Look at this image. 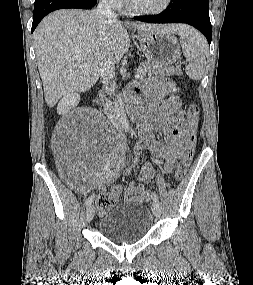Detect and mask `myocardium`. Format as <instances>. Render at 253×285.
<instances>
[{
	"label": "myocardium",
	"mask_w": 253,
	"mask_h": 285,
	"mask_svg": "<svg viewBox=\"0 0 253 285\" xmlns=\"http://www.w3.org/2000/svg\"><path fill=\"white\" fill-rule=\"evenodd\" d=\"M126 3H127V8L131 13L141 16H151V15H158L166 11L172 4V0H165L164 4L160 8L151 9V10L136 8L135 6H133L131 0H126Z\"/></svg>",
	"instance_id": "obj_1"
}]
</instances>
